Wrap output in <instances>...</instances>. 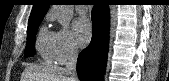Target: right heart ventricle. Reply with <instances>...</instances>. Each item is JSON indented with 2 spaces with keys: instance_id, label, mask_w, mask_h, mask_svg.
<instances>
[{
  "instance_id": "right-heart-ventricle-1",
  "label": "right heart ventricle",
  "mask_w": 169,
  "mask_h": 81,
  "mask_svg": "<svg viewBox=\"0 0 169 81\" xmlns=\"http://www.w3.org/2000/svg\"><path fill=\"white\" fill-rule=\"evenodd\" d=\"M36 49L45 61H52L53 54L51 49V34H49L45 28H41L38 33Z\"/></svg>"
}]
</instances>
